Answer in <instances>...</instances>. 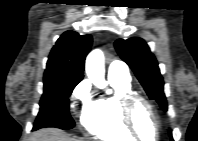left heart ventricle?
<instances>
[{
  "label": "left heart ventricle",
  "instance_id": "left-heart-ventricle-1",
  "mask_svg": "<svg viewBox=\"0 0 198 141\" xmlns=\"http://www.w3.org/2000/svg\"><path fill=\"white\" fill-rule=\"evenodd\" d=\"M134 124L143 140H154L156 137V125L149 109L142 103L135 108Z\"/></svg>",
  "mask_w": 198,
  "mask_h": 141
}]
</instances>
